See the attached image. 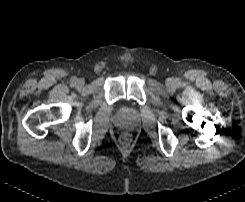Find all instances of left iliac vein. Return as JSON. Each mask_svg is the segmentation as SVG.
<instances>
[{
    "label": "left iliac vein",
    "instance_id": "left-iliac-vein-1",
    "mask_svg": "<svg viewBox=\"0 0 245 202\" xmlns=\"http://www.w3.org/2000/svg\"><path fill=\"white\" fill-rule=\"evenodd\" d=\"M166 84H167L168 86H172V85L174 84L173 79H170V78L167 79Z\"/></svg>",
    "mask_w": 245,
    "mask_h": 202
}]
</instances>
